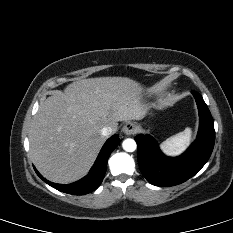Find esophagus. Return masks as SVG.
<instances>
[{
    "mask_svg": "<svg viewBox=\"0 0 233 233\" xmlns=\"http://www.w3.org/2000/svg\"><path fill=\"white\" fill-rule=\"evenodd\" d=\"M136 130H137V128H136L135 124H133L131 122L126 123L122 128V132L125 135H132V134L136 133Z\"/></svg>",
    "mask_w": 233,
    "mask_h": 233,
    "instance_id": "34e87169",
    "label": "esophagus"
}]
</instances>
